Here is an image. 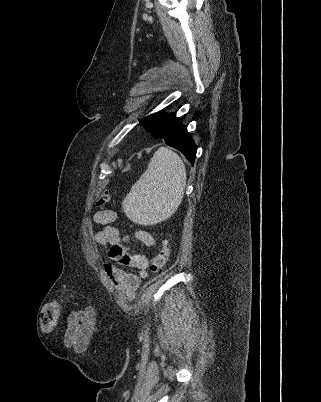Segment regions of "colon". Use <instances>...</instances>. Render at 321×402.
I'll list each match as a JSON object with an SVG mask.
<instances>
[{
    "label": "colon",
    "mask_w": 321,
    "mask_h": 402,
    "mask_svg": "<svg viewBox=\"0 0 321 402\" xmlns=\"http://www.w3.org/2000/svg\"><path fill=\"white\" fill-rule=\"evenodd\" d=\"M110 200L109 192H104L97 200L98 206L106 205ZM170 250L168 242L165 240L162 242L161 247L157 254L153 257L150 265V269L153 273H157L162 270L167 264ZM59 315V305L55 302L49 303L42 311L40 317V326L43 331H51L57 322Z\"/></svg>",
    "instance_id": "1"
}]
</instances>
